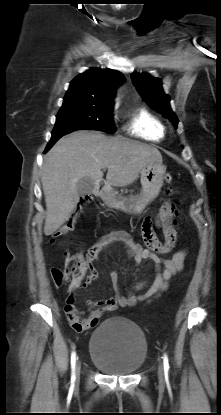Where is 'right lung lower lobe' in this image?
I'll return each instance as SVG.
<instances>
[{
	"label": "right lung lower lobe",
	"mask_w": 221,
	"mask_h": 415,
	"mask_svg": "<svg viewBox=\"0 0 221 415\" xmlns=\"http://www.w3.org/2000/svg\"><path fill=\"white\" fill-rule=\"evenodd\" d=\"M59 138H61V137L60 136L52 137L50 142L47 145V148H46L45 152H47Z\"/></svg>",
	"instance_id": "1"
}]
</instances>
